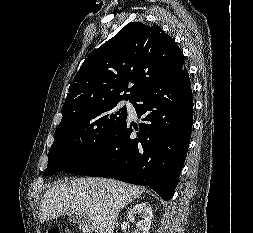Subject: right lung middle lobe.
<instances>
[{"mask_svg":"<svg viewBox=\"0 0 253 233\" xmlns=\"http://www.w3.org/2000/svg\"><path fill=\"white\" fill-rule=\"evenodd\" d=\"M123 99H110L85 106L62 118L56 128L44 175L61 172L100 150L127 118Z\"/></svg>","mask_w":253,"mask_h":233,"instance_id":"obj_1","label":"right lung middle lobe"}]
</instances>
